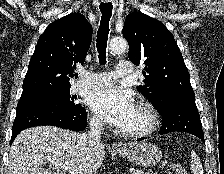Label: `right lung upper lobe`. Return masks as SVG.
<instances>
[{
	"label": "right lung upper lobe",
	"mask_w": 224,
	"mask_h": 174,
	"mask_svg": "<svg viewBox=\"0 0 224 174\" xmlns=\"http://www.w3.org/2000/svg\"><path fill=\"white\" fill-rule=\"evenodd\" d=\"M92 27L79 13L52 22L38 40L23 81L27 94L47 86H71L76 63H84Z\"/></svg>",
	"instance_id": "obj_1"
}]
</instances>
